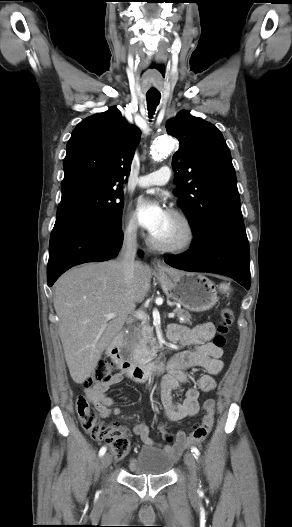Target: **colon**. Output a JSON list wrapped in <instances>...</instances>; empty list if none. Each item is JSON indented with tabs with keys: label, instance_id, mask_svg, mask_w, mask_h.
I'll return each mask as SVG.
<instances>
[{
	"label": "colon",
	"instance_id": "colon-1",
	"mask_svg": "<svg viewBox=\"0 0 292 527\" xmlns=\"http://www.w3.org/2000/svg\"><path fill=\"white\" fill-rule=\"evenodd\" d=\"M234 320L233 311L230 308H224L221 311V319L217 326V334L213 338V344L222 348L226 344V337L230 332ZM115 370V364L112 358L101 359L93 373L84 380L83 385L86 388H95L102 383L111 379ZM77 412L84 429L91 436L98 440L106 442L112 454L116 458L125 457L130 450V439L126 429L118 424H103L97 421L94 412L84 396H80L76 403Z\"/></svg>",
	"mask_w": 292,
	"mask_h": 527
}]
</instances>
